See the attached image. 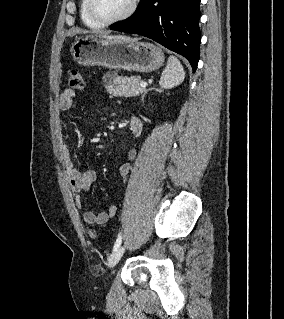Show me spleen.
<instances>
[{
  "instance_id": "3e777b00",
  "label": "spleen",
  "mask_w": 284,
  "mask_h": 319,
  "mask_svg": "<svg viewBox=\"0 0 284 319\" xmlns=\"http://www.w3.org/2000/svg\"><path fill=\"white\" fill-rule=\"evenodd\" d=\"M185 78V71L180 61L175 56H170L167 66L161 74L159 85L161 88L171 89L180 85Z\"/></svg>"
}]
</instances>
